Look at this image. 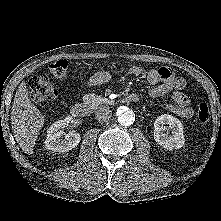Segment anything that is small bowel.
I'll use <instances>...</instances> for the list:
<instances>
[{
	"mask_svg": "<svg viewBox=\"0 0 221 221\" xmlns=\"http://www.w3.org/2000/svg\"><path fill=\"white\" fill-rule=\"evenodd\" d=\"M130 73L138 77H146L147 81L154 85L149 91L151 97H160L171 94L173 103L167 104L166 108L173 114L181 118H191L193 109L190 106V100L185 94L187 86L182 77L176 76L169 68L163 67L153 69L148 72L140 67H132ZM112 77L109 70H101L94 73L87 81L88 87H95L108 82Z\"/></svg>",
	"mask_w": 221,
	"mask_h": 221,
	"instance_id": "small-bowel-1",
	"label": "small bowel"
}]
</instances>
